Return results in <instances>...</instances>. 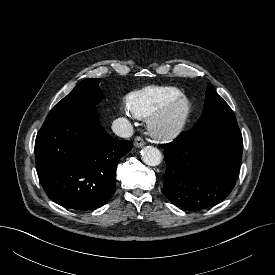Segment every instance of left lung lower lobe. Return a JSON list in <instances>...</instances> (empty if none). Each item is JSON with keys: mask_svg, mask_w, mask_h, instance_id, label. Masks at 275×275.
Wrapping results in <instances>:
<instances>
[{"mask_svg": "<svg viewBox=\"0 0 275 275\" xmlns=\"http://www.w3.org/2000/svg\"><path fill=\"white\" fill-rule=\"evenodd\" d=\"M159 146L166 162L163 192L174 205L203 209L233 190L242 161L240 131L207 132L196 125Z\"/></svg>", "mask_w": 275, "mask_h": 275, "instance_id": "left-lung-lower-lobe-1", "label": "left lung lower lobe"}]
</instances>
